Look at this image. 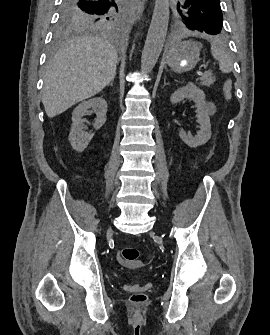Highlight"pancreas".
I'll return each instance as SVG.
<instances>
[{
  "label": "pancreas",
  "mask_w": 270,
  "mask_h": 335,
  "mask_svg": "<svg viewBox=\"0 0 270 335\" xmlns=\"http://www.w3.org/2000/svg\"><path fill=\"white\" fill-rule=\"evenodd\" d=\"M199 80H201V86H211V84H214L216 78L212 72H205L204 76L199 78Z\"/></svg>",
  "instance_id": "cf45deb5"
}]
</instances>
